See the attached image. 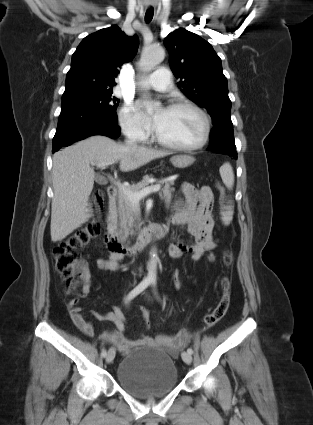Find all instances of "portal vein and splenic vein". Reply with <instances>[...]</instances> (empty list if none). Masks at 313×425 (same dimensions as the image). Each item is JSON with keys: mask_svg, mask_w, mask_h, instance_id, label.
<instances>
[{"mask_svg": "<svg viewBox=\"0 0 313 425\" xmlns=\"http://www.w3.org/2000/svg\"><path fill=\"white\" fill-rule=\"evenodd\" d=\"M114 163L115 162H98V163L97 162H91L92 165H95V166H97L99 168H102V169H104L107 166L112 165ZM114 184L135 205H138L139 201L142 198L146 197L147 195H149V194H151L153 192H158L161 189V186L158 184V185L147 187V188H145V189H143V190H141L139 192H132V191L128 190L124 185H122L121 183H119L117 181H114Z\"/></svg>", "mask_w": 313, "mask_h": 425, "instance_id": "portal-vein-and-splenic-vein-1", "label": "portal vein and splenic vein"}]
</instances>
